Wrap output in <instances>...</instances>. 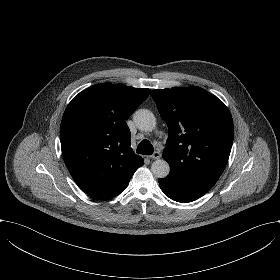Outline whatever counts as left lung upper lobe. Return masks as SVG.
<instances>
[{"label": "left lung upper lobe", "instance_id": "obj_1", "mask_svg": "<svg viewBox=\"0 0 280 280\" xmlns=\"http://www.w3.org/2000/svg\"><path fill=\"white\" fill-rule=\"evenodd\" d=\"M151 96L169 130L163 151L170 165L167 177L181 185L213 186L227 164L234 137L228 108L197 86L153 90Z\"/></svg>", "mask_w": 280, "mask_h": 280}]
</instances>
